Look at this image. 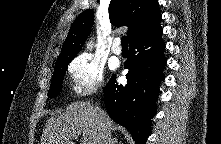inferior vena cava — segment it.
Returning a JSON list of instances; mask_svg holds the SVG:
<instances>
[{
    "label": "inferior vena cava",
    "mask_w": 221,
    "mask_h": 144,
    "mask_svg": "<svg viewBox=\"0 0 221 144\" xmlns=\"http://www.w3.org/2000/svg\"><path fill=\"white\" fill-rule=\"evenodd\" d=\"M96 108L99 109L98 107H96ZM100 120H101L102 129H101V139H100L99 144H110L111 135H110V132L108 130V126L105 123L103 117H100Z\"/></svg>",
    "instance_id": "inferior-vena-cava-1"
}]
</instances>
